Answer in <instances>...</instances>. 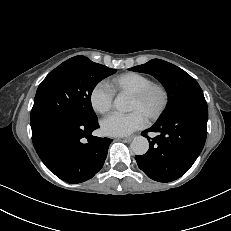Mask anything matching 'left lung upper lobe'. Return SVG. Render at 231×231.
Wrapping results in <instances>:
<instances>
[{
  "label": "left lung upper lobe",
  "mask_w": 231,
  "mask_h": 231,
  "mask_svg": "<svg viewBox=\"0 0 231 231\" xmlns=\"http://www.w3.org/2000/svg\"><path fill=\"white\" fill-rule=\"evenodd\" d=\"M129 70L151 74L165 87L168 93V104L158 120L170 116L187 104L205 101L203 91L197 81L171 63L153 59Z\"/></svg>",
  "instance_id": "left-lung-upper-lobe-1"
}]
</instances>
